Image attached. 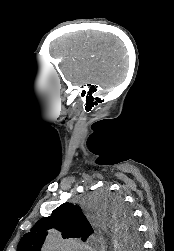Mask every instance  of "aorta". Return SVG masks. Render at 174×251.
Segmentation results:
<instances>
[{"label":"aorta","instance_id":"1","mask_svg":"<svg viewBox=\"0 0 174 251\" xmlns=\"http://www.w3.org/2000/svg\"><path fill=\"white\" fill-rule=\"evenodd\" d=\"M105 226L109 227L112 233V236L116 242V250L132 251L131 246L127 245L126 241L122 239V236L117 229V223L113 219H109L105 223ZM46 243L49 247V250H62V241L60 235L57 232H50Z\"/></svg>","mask_w":174,"mask_h":251}]
</instances>
